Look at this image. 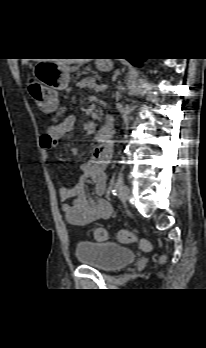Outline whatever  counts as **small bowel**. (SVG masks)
Returning <instances> with one entry per match:
<instances>
[{
  "mask_svg": "<svg viewBox=\"0 0 206 348\" xmlns=\"http://www.w3.org/2000/svg\"><path fill=\"white\" fill-rule=\"evenodd\" d=\"M75 121L73 115H67L58 120L40 137V147L44 151L46 161L48 152L73 130ZM110 156L111 149L102 146L96 147L91 160L81 165L82 175L79 181L73 187L59 188L62 210L70 224L87 225L97 220L110 218L112 214L110 203L103 198L90 199L85 187V182L90 180L96 193L101 194L104 191Z\"/></svg>",
  "mask_w": 206,
  "mask_h": 348,
  "instance_id": "obj_1",
  "label": "small bowel"
}]
</instances>
